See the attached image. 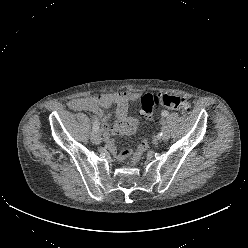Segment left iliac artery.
<instances>
[{"mask_svg": "<svg viewBox=\"0 0 248 248\" xmlns=\"http://www.w3.org/2000/svg\"><path fill=\"white\" fill-rule=\"evenodd\" d=\"M168 114H169V112H168L167 110H163L162 113H161V115H162L163 117L168 116ZM162 134H163V130L160 132V136H162Z\"/></svg>", "mask_w": 248, "mask_h": 248, "instance_id": "obj_1", "label": "left iliac artery"}]
</instances>
